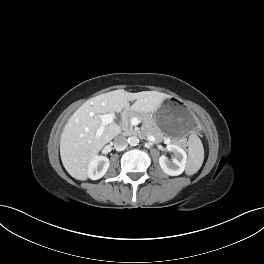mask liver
<instances>
[{"label": "liver", "mask_w": 264, "mask_h": 264, "mask_svg": "<svg viewBox=\"0 0 264 264\" xmlns=\"http://www.w3.org/2000/svg\"><path fill=\"white\" fill-rule=\"evenodd\" d=\"M168 97L157 91L130 93L115 90L86 101L69 118L62 132L60 156L66 171L77 180H87L91 159L120 133V127L112 123L105 125L102 135L97 137V130L101 127L100 115L121 112L129 107L130 101H135L131 107L133 111L153 112Z\"/></svg>", "instance_id": "6515ba94"}]
</instances>
